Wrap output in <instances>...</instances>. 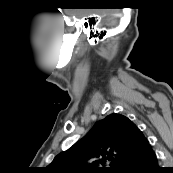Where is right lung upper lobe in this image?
Instances as JSON below:
<instances>
[{"mask_svg": "<svg viewBox=\"0 0 173 173\" xmlns=\"http://www.w3.org/2000/svg\"><path fill=\"white\" fill-rule=\"evenodd\" d=\"M150 146L139 128L121 114H110L68 150L58 154L46 173H117L125 161ZM106 159L110 167H103Z\"/></svg>", "mask_w": 173, "mask_h": 173, "instance_id": "right-lung-upper-lobe-1", "label": "right lung upper lobe"}]
</instances>
